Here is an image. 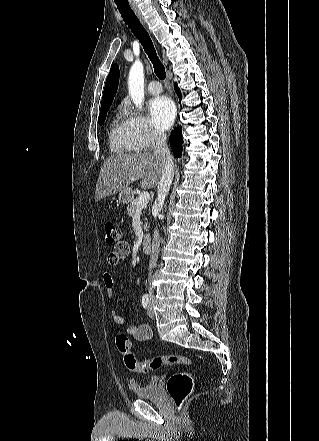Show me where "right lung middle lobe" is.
Here are the masks:
<instances>
[{"label": "right lung middle lobe", "mask_w": 319, "mask_h": 441, "mask_svg": "<svg viewBox=\"0 0 319 441\" xmlns=\"http://www.w3.org/2000/svg\"><path fill=\"white\" fill-rule=\"evenodd\" d=\"M109 110V107H105L103 109L100 110V114H99V125H102L105 121L106 118V113Z\"/></svg>", "instance_id": "1"}]
</instances>
